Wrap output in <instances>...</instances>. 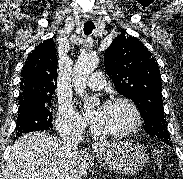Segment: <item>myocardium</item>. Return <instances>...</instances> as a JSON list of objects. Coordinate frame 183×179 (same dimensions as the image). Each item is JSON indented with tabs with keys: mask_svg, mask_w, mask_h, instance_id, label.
I'll return each instance as SVG.
<instances>
[{
	"mask_svg": "<svg viewBox=\"0 0 183 179\" xmlns=\"http://www.w3.org/2000/svg\"><path fill=\"white\" fill-rule=\"evenodd\" d=\"M118 103L125 104L131 109L132 114H133V122L128 128L123 129L121 131L103 132V135H105L107 137L122 138V137L129 136V135L133 134L134 132H136L140 128L141 123H142V115H141V112H140L138 106L136 105V103L133 100H131L127 97H123V96L112 97L106 101L105 105H113V104H118Z\"/></svg>",
	"mask_w": 183,
	"mask_h": 179,
	"instance_id": "f54148a6",
	"label": "myocardium"
}]
</instances>
